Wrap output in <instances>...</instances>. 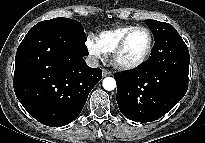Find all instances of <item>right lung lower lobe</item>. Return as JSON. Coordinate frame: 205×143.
Masks as SVG:
<instances>
[{
	"mask_svg": "<svg viewBox=\"0 0 205 143\" xmlns=\"http://www.w3.org/2000/svg\"><path fill=\"white\" fill-rule=\"evenodd\" d=\"M85 42L51 26H33L15 57L13 87L27 110L40 123L65 126L82 111L88 95L102 78L90 68Z\"/></svg>",
	"mask_w": 205,
	"mask_h": 143,
	"instance_id": "98d812e1",
	"label": "right lung lower lobe"
}]
</instances>
